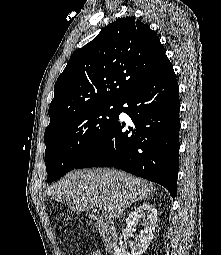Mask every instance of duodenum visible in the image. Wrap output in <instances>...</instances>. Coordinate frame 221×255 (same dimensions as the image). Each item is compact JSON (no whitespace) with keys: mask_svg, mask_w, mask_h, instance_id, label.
Listing matches in <instances>:
<instances>
[{"mask_svg":"<svg viewBox=\"0 0 221 255\" xmlns=\"http://www.w3.org/2000/svg\"><path fill=\"white\" fill-rule=\"evenodd\" d=\"M91 220L95 221L107 252H113L117 247L118 236L113 221L105 216L92 215Z\"/></svg>","mask_w":221,"mask_h":255,"instance_id":"1","label":"duodenum"}]
</instances>
